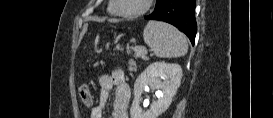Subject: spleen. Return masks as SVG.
Returning <instances> with one entry per match:
<instances>
[{
  "instance_id": "spleen-1",
  "label": "spleen",
  "mask_w": 273,
  "mask_h": 118,
  "mask_svg": "<svg viewBox=\"0 0 273 118\" xmlns=\"http://www.w3.org/2000/svg\"><path fill=\"white\" fill-rule=\"evenodd\" d=\"M145 43L161 58L184 56L188 51L186 37L173 26L157 21H149L144 28Z\"/></svg>"
}]
</instances>
